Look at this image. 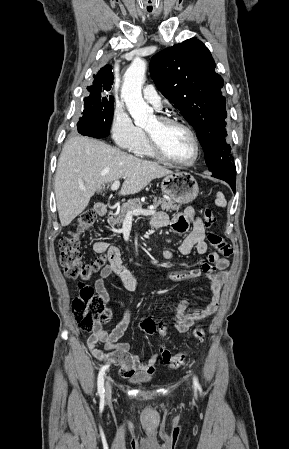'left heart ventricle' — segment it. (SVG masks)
Wrapping results in <instances>:
<instances>
[{"mask_svg": "<svg viewBox=\"0 0 289 449\" xmlns=\"http://www.w3.org/2000/svg\"><path fill=\"white\" fill-rule=\"evenodd\" d=\"M146 130L154 133L165 151L173 159L190 161L195 155V147L189 134L181 127L169 125L161 126L157 118L154 119Z\"/></svg>", "mask_w": 289, "mask_h": 449, "instance_id": "1", "label": "left heart ventricle"}]
</instances>
